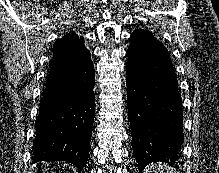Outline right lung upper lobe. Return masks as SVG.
<instances>
[{"label":"right lung upper lobe","mask_w":219,"mask_h":173,"mask_svg":"<svg viewBox=\"0 0 219 173\" xmlns=\"http://www.w3.org/2000/svg\"><path fill=\"white\" fill-rule=\"evenodd\" d=\"M84 39L74 34H66L63 38L55 41L53 45V58L59 64H66L73 60L75 56H83L89 53L85 45Z\"/></svg>","instance_id":"1"}]
</instances>
